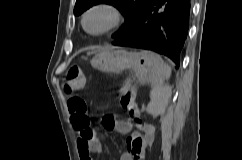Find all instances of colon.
<instances>
[{
	"instance_id": "colon-1",
	"label": "colon",
	"mask_w": 242,
	"mask_h": 160,
	"mask_svg": "<svg viewBox=\"0 0 242 160\" xmlns=\"http://www.w3.org/2000/svg\"><path fill=\"white\" fill-rule=\"evenodd\" d=\"M84 84V77L82 71L78 66H73L69 68L63 77V90L67 94H71L76 90L82 88ZM120 103L124 109L127 110L130 118L135 121H140L137 118V106L135 103V90L131 86L130 82H125L120 89ZM68 108L72 113L75 123L79 128H89L90 119L86 113V103L83 99L79 97H72L68 101ZM92 131L89 129L83 132L85 138L92 136Z\"/></svg>"
}]
</instances>
